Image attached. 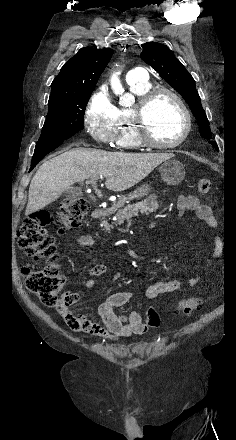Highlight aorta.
Wrapping results in <instances>:
<instances>
[{
    "mask_svg": "<svg viewBox=\"0 0 236 440\" xmlns=\"http://www.w3.org/2000/svg\"><path fill=\"white\" fill-rule=\"evenodd\" d=\"M110 85H111V88H112L113 92L116 95H119V97H120L119 103H120L121 106L128 107V106L133 104V102H134L133 96L131 94H128V93L125 94L124 93L125 90H124V88H123V86L121 84V81L119 79V74L118 73H113L111 75Z\"/></svg>",
    "mask_w": 236,
    "mask_h": 440,
    "instance_id": "1",
    "label": "aorta"
}]
</instances>
